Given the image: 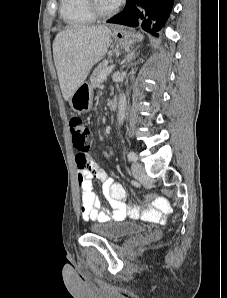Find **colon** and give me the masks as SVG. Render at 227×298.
Returning a JSON list of instances; mask_svg holds the SVG:
<instances>
[{"instance_id": "5ec220e1", "label": "colon", "mask_w": 227, "mask_h": 298, "mask_svg": "<svg viewBox=\"0 0 227 298\" xmlns=\"http://www.w3.org/2000/svg\"><path fill=\"white\" fill-rule=\"evenodd\" d=\"M70 131L73 146L76 150H86L88 151L91 145L92 136L89 125L86 121L79 117H73L70 120ZM146 204L148 206L156 207L161 211L167 212L169 210L167 202L154 194L144 197ZM136 215L137 213L134 212Z\"/></svg>"}]
</instances>
